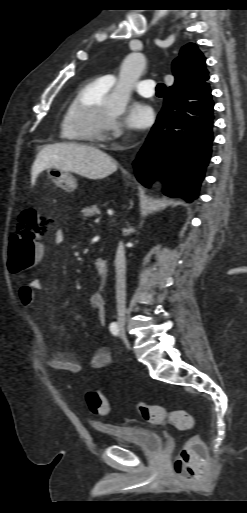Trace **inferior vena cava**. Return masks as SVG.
I'll return each mask as SVG.
<instances>
[{"instance_id": "obj_1", "label": "inferior vena cava", "mask_w": 247, "mask_h": 513, "mask_svg": "<svg viewBox=\"0 0 247 513\" xmlns=\"http://www.w3.org/2000/svg\"><path fill=\"white\" fill-rule=\"evenodd\" d=\"M116 300H117V312L118 317H124L125 315V250L122 243L119 244L116 252Z\"/></svg>"}]
</instances>
